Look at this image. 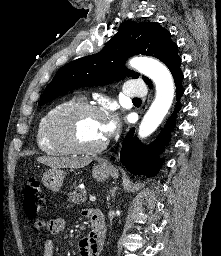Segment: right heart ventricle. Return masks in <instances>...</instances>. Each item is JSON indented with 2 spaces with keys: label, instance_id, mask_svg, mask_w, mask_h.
Instances as JSON below:
<instances>
[{
  "label": "right heart ventricle",
  "instance_id": "1",
  "mask_svg": "<svg viewBox=\"0 0 221 256\" xmlns=\"http://www.w3.org/2000/svg\"><path fill=\"white\" fill-rule=\"evenodd\" d=\"M76 102H79V100L75 97L62 100L51 106L41 117L36 130V143L41 151L51 155H62L68 153L62 145L55 143L50 138L49 130L54 115L62 108Z\"/></svg>",
  "mask_w": 221,
  "mask_h": 256
}]
</instances>
